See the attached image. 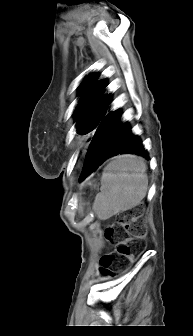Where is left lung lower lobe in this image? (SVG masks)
<instances>
[{
	"label": "left lung lower lobe",
	"instance_id": "obj_1",
	"mask_svg": "<svg viewBox=\"0 0 193 336\" xmlns=\"http://www.w3.org/2000/svg\"><path fill=\"white\" fill-rule=\"evenodd\" d=\"M121 113L116 110L104 116L86 154L80 181L95 171L109 157L133 153L148 158L138 136L132 134L129 125L120 121Z\"/></svg>",
	"mask_w": 193,
	"mask_h": 336
}]
</instances>
